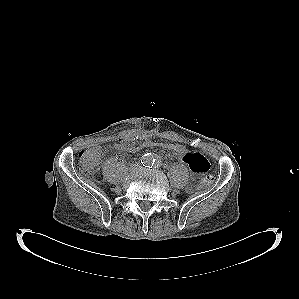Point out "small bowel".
<instances>
[{
	"label": "small bowel",
	"instance_id": "c3829d8e",
	"mask_svg": "<svg viewBox=\"0 0 299 299\" xmlns=\"http://www.w3.org/2000/svg\"><path fill=\"white\" fill-rule=\"evenodd\" d=\"M127 147L124 151L126 152H134L131 149V146L134 144L135 137L127 136L124 139ZM185 164H187L193 173L194 176H198L206 173L209 170V163L207 159L200 153L195 151H190L186 149V154L180 158Z\"/></svg>",
	"mask_w": 299,
	"mask_h": 299
}]
</instances>
